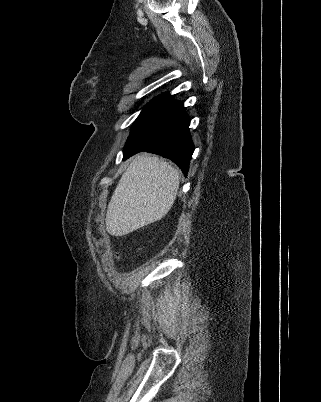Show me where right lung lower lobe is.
Listing matches in <instances>:
<instances>
[{"instance_id": "obj_1", "label": "right lung lower lobe", "mask_w": 321, "mask_h": 402, "mask_svg": "<svg viewBox=\"0 0 321 402\" xmlns=\"http://www.w3.org/2000/svg\"><path fill=\"white\" fill-rule=\"evenodd\" d=\"M189 124L183 102L168 96L133 125L123 149L124 159L142 151L155 153L172 160L186 176L194 151Z\"/></svg>"}]
</instances>
